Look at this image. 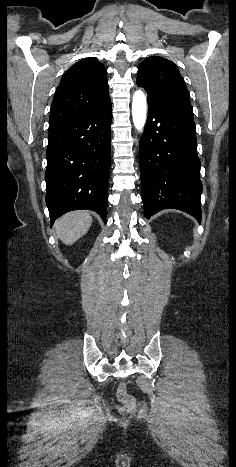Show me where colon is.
Instances as JSON below:
<instances>
[{
    "label": "colon",
    "instance_id": "1",
    "mask_svg": "<svg viewBox=\"0 0 236 467\" xmlns=\"http://www.w3.org/2000/svg\"><path fill=\"white\" fill-rule=\"evenodd\" d=\"M117 396L120 401L123 402L124 406L123 409L125 411H128L133 408L135 401L133 397H131L126 390V385L124 383H121L119 385L118 391H117Z\"/></svg>",
    "mask_w": 236,
    "mask_h": 467
}]
</instances>
